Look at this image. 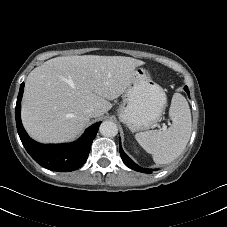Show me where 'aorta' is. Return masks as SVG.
I'll return each instance as SVG.
<instances>
[{"label": "aorta", "mask_w": 227, "mask_h": 227, "mask_svg": "<svg viewBox=\"0 0 227 227\" xmlns=\"http://www.w3.org/2000/svg\"><path fill=\"white\" fill-rule=\"evenodd\" d=\"M99 131L105 137H114L118 133V127L113 121H104L101 123Z\"/></svg>", "instance_id": "aorta-1"}]
</instances>
